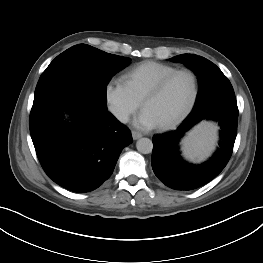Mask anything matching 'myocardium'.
<instances>
[{
    "label": "myocardium",
    "instance_id": "f54148a6",
    "mask_svg": "<svg viewBox=\"0 0 263 263\" xmlns=\"http://www.w3.org/2000/svg\"><path fill=\"white\" fill-rule=\"evenodd\" d=\"M181 74H186L188 76H190V78L192 79V83H193V93H192V97L191 100L189 102V104L187 105V107L184 109V111L177 116L174 120L159 125V129L161 130H169L172 129L174 127H176L178 124H180L190 113L191 111L194 109L198 97H199V91H200V87H199V80L197 75L190 69H177L169 74H167L166 76H164L163 78H161L147 93L146 95L143 97L142 101H141V105L144 108V105L156 98L157 96H159L162 91L165 89V87L168 85V83L176 76L181 75Z\"/></svg>",
    "mask_w": 263,
    "mask_h": 263
}]
</instances>
